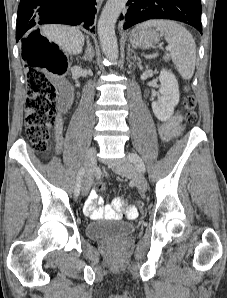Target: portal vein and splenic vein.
<instances>
[{
  "label": "portal vein and splenic vein",
  "instance_id": "obj_1",
  "mask_svg": "<svg viewBox=\"0 0 227 298\" xmlns=\"http://www.w3.org/2000/svg\"><path fill=\"white\" fill-rule=\"evenodd\" d=\"M166 49L170 51L171 50V46H168Z\"/></svg>",
  "mask_w": 227,
  "mask_h": 298
}]
</instances>
